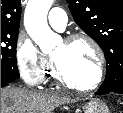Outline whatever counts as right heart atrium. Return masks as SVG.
I'll list each match as a JSON object with an SVG mask.
<instances>
[{
	"label": "right heart atrium",
	"mask_w": 123,
	"mask_h": 113,
	"mask_svg": "<svg viewBox=\"0 0 123 113\" xmlns=\"http://www.w3.org/2000/svg\"><path fill=\"white\" fill-rule=\"evenodd\" d=\"M15 63L21 79L32 87L43 82L50 64L48 58L24 32H20L16 38Z\"/></svg>",
	"instance_id": "right-heart-atrium-1"
}]
</instances>
